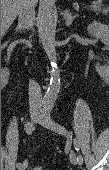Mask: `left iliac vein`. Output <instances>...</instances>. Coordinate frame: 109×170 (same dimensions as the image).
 I'll list each match as a JSON object with an SVG mask.
<instances>
[{
	"instance_id": "1",
	"label": "left iliac vein",
	"mask_w": 109,
	"mask_h": 170,
	"mask_svg": "<svg viewBox=\"0 0 109 170\" xmlns=\"http://www.w3.org/2000/svg\"><path fill=\"white\" fill-rule=\"evenodd\" d=\"M39 124H41L42 126L51 129L63 136H67V130L61 126L60 124L56 123L55 121H53L48 115H46L44 112L39 114L38 119L36 120ZM70 162L73 165H77L80 164L79 161L77 160V156L76 154L71 151L70 152ZM81 165V164H80Z\"/></svg>"
}]
</instances>
